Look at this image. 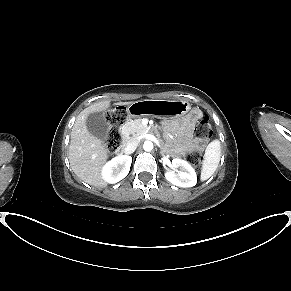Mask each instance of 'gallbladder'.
Wrapping results in <instances>:
<instances>
[{
  "mask_svg": "<svg viewBox=\"0 0 291 291\" xmlns=\"http://www.w3.org/2000/svg\"><path fill=\"white\" fill-rule=\"evenodd\" d=\"M88 131L100 140H105L108 133V123L103 114L99 112L91 113L86 118Z\"/></svg>",
  "mask_w": 291,
  "mask_h": 291,
  "instance_id": "gallbladder-1",
  "label": "gallbladder"
}]
</instances>
